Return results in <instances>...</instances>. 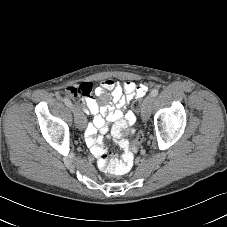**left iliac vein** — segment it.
I'll return each mask as SVG.
<instances>
[{
  "instance_id": "1",
  "label": "left iliac vein",
  "mask_w": 227,
  "mask_h": 227,
  "mask_svg": "<svg viewBox=\"0 0 227 227\" xmlns=\"http://www.w3.org/2000/svg\"><path fill=\"white\" fill-rule=\"evenodd\" d=\"M152 103H153L152 95H149L144 99L142 109H141V115H142L143 121H147L149 119L151 114Z\"/></svg>"
}]
</instances>
